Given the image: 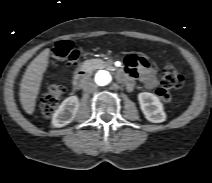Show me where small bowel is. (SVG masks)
Returning a JSON list of instances; mask_svg holds the SVG:
<instances>
[{
  "instance_id": "obj_1",
  "label": "small bowel",
  "mask_w": 212,
  "mask_h": 183,
  "mask_svg": "<svg viewBox=\"0 0 212 183\" xmlns=\"http://www.w3.org/2000/svg\"><path fill=\"white\" fill-rule=\"evenodd\" d=\"M158 70L147 59L139 55H129L125 60L124 69L120 75L121 81L128 90H133L138 80L146 88H155L159 81Z\"/></svg>"
}]
</instances>
